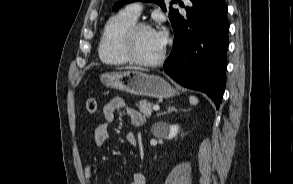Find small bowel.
I'll return each instance as SVG.
<instances>
[{"instance_id": "1", "label": "small bowel", "mask_w": 293, "mask_h": 184, "mask_svg": "<svg viewBox=\"0 0 293 184\" xmlns=\"http://www.w3.org/2000/svg\"><path fill=\"white\" fill-rule=\"evenodd\" d=\"M119 111H124L134 126H140L145 121L144 116L136 109L129 107L125 103L124 99L120 97L113 98L105 105L103 109L104 121L98 124L95 129L94 139L98 146H103L107 142L109 138L108 125L114 121L115 115ZM126 141L131 146H136L137 144L136 136L133 133H128L126 135ZM92 176V165L88 163L84 167V177L87 184H91ZM145 182L146 180L144 175L142 173L136 172L133 174L129 184H145Z\"/></svg>"}]
</instances>
